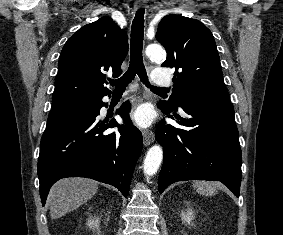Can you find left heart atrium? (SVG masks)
Instances as JSON below:
<instances>
[{
	"label": "left heart atrium",
	"instance_id": "obj_1",
	"mask_svg": "<svg viewBox=\"0 0 283 235\" xmlns=\"http://www.w3.org/2000/svg\"><path fill=\"white\" fill-rule=\"evenodd\" d=\"M132 120L141 127H147L152 123V111L146 106L142 105L138 107L132 113Z\"/></svg>",
	"mask_w": 283,
	"mask_h": 235
}]
</instances>
